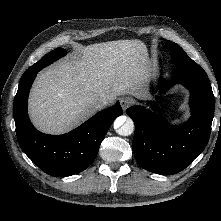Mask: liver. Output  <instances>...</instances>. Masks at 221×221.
Returning a JSON list of instances; mask_svg holds the SVG:
<instances>
[{"mask_svg":"<svg viewBox=\"0 0 221 221\" xmlns=\"http://www.w3.org/2000/svg\"><path fill=\"white\" fill-rule=\"evenodd\" d=\"M149 75L147 49L140 40L81 47L72 60L38 75L28 102L31 121L47 134L68 132L98 110L100 97L113 102L123 94L145 98Z\"/></svg>","mask_w":221,"mask_h":221,"instance_id":"1","label":"liver"}]
</instances>
